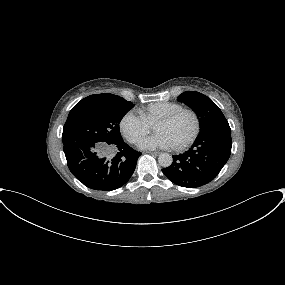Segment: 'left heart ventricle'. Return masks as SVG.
Returning <instances> with one entry per match:
<instances>
[{
    "label": "left heart ventricle",
    "instance_id": "b2bd125f",
    "mask_svg": "<svg viewBox=\"0 0 285 285\" xmlns=\"http://www.w3.org/2000/svg\"><path fill=\"white\" fill-rule=\"evenodd\" d=\"M195 126L192 115L185 113L169 123H158L154 126L156 133L165 134L173 146L184 142L193 132Z\"/></svg>",
    "mask_w": 285,
    "mask_h": 285
}]
</instances>
